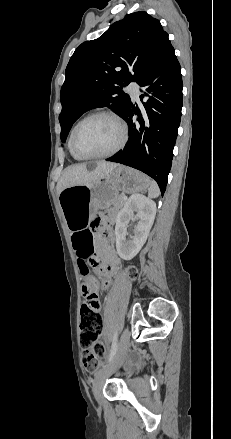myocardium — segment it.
Masks as SVG:
<instances>
[{"label":"myocardium","instance_id":"obj_1","mask_svg":"<svg viewBox=\"0 0 231 439\" xmlns=\"http://www.w3.org/2000/svg\"><path fill=\"white\" fill-rule=\"evenodd\" d=\"M95 117H107L109 119H111L112 121H114L116 123V125L119 127L120 130V139L118 141V143L116 144V146L114 148H112L111 150L105 152V153H101V154H84L81 153L80 151L77 150L76 146H75V135L76 132L78 130V128L86 121L95 118ZM127 141V128L126 125L124 124V122L121 120V118L115 114L112 111H108V110H98V111H94L88 115H86L85 117H83L81 120H79L75 126L73 127L71 133H70V138H69V146L70 149L80 158L82 159H103V158H109L112 157L113 155H115L116 153H118L126 144Z\"/></svg>","mask_w":231,"mask_h":439}]
</instances>
